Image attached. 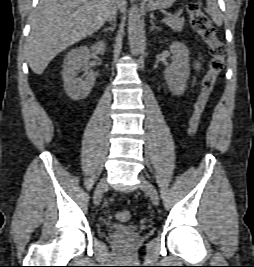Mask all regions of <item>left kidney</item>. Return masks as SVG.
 I'll return each instance as SVG.
<instances>
[{"label": "left kidney", "instance_id": "1", "mask_svg": "<svg viewBox=\"0 0 254 267\" xmlns=\"http://www.w3.org/2000/svg\"><path fill=\"white\" fill-rule=\"evenodd\" d=\"M170 51L174 60L164 71V78L172 95H182L190 75L189 49L181 42H173Z\"/></svg>", "mask_w": 254, "mask_h": 267}]
</instances>
